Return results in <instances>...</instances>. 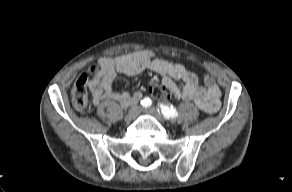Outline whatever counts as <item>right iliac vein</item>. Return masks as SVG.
Returning <instances> with one entry per match:
<instances>
[{
	"mask_svg": "<svg viewBox=\"0 0 292 192\" xmlns=\"http://www.w3.org/2000/svg\"><path fill=\"white\" fill-rule=\"evenodd\" d=\"M140 113V107L138 105H133L127 115L125 116V121H131L134 120Z\"/></svg>",
	"mask_w": 292,
	"mask_h": 192,
	"instance_id": "1",
	"label": "right iliac vein"
}]
</instances>
